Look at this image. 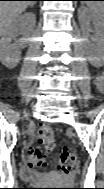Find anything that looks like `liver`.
I'll list each match as a JSON object with an SVG mask.
<instances>
[{"mask_svg": "<svg viewBox=\"0 0 104 189\" xmlns=\"http://www.w3.org/2000/svg\"><path fill=\"white\" fill-rule=\"evenodd\" d=\"M34 4L32 1H1L0 2V33L4 35L11 27L14 20L26 8Z\"/></svg>", "mask_w": 104, "mask_h": 189, "instance_id": "liver-1", "label": "liver"}]
</instances>
